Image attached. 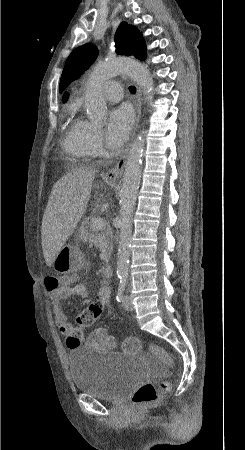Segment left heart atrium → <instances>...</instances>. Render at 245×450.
I'll list each match as a JSON object with an SVG mask.
<instances>
[{
    "mask_svg": "<svg viewBox=\"0 0 245 450\" xmlns=\"http://www.w3.org/2000/svg\"><path fill=\"white\" fill-rule=\"evenodd\" d=\"M133 121L134 112L128 104H122L109 113L106 141L111 148H118L127 140Z\"/></svg>",
    "mask_w": 245,
    "mask_h": 450,
    "instance_id": "obj_1",
    "label": "left heart atrium"
}]
</instances>
